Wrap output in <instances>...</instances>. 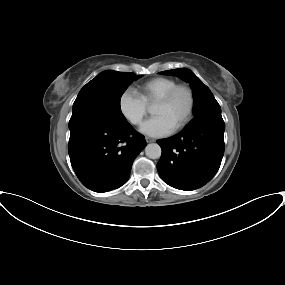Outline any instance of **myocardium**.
Masks as SVG:
<instances>
[{"mask_svg":"<svg viewBox=\"0 0 285 285\" xmlns=\"http://www.w3.org/2000/svg\"><path fill=\"white\" fill-rule=\"evenodd\" d=\"M180 91H185L188 94L189 108L183 120L173 128V132H179L192 120L196 107V96L194 90L187 84H177L155 103V105H168Z\"/></svg>","mask_w":285,"mask_h":285,"instance_id":"1","label":"myocardium"}]
</instances>
